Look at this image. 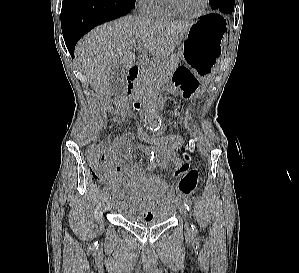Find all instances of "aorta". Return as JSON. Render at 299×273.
<instances>
[{
	"label": "aorta",
	"instance_id": "762f6f07",
	"mask_svg": "<svg viewBox=\"0 0 299 273\" xmlns=\"http://www.w3.org/2000/svg\"><path fill=\"white\" fill-rule=\"evenodd\" d=\"M144 125L151 131H157L160 128V117L154 107H150L146 110Z\"/></svg>",
	"mask_w": 299,
	"mask_h": 273
}]
</instances>
